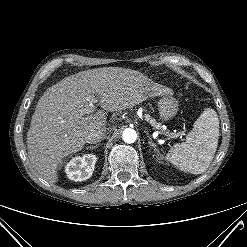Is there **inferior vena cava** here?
I'll return each mask as SVG.
<instances>
[{
  "instance_id": "inferior-vena-cava-1",
  "label": "inferior vena cava",
  "mask_w": 247,
  "mask_h": 247,
  "mask_svg": "<svg viewBox=\"0 0 247 247\" xmlns=\"http://www.w3.org/2000/svg\"><path fill=\"white\" fill-rule=\"evenodd\" d=\"M106 136V130L105 129H98L93 132H91L86 137V142L90 144H96L101 142Z\"/></svg>"
}]
</instances>
